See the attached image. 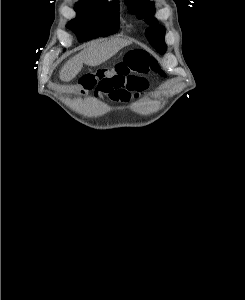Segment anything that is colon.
<instances>
[{
  "mask_svg": "<svg viewBox=\"0 0 245 300\" xmlns=\"http://www.w3.org/2000/svg\"><path fill=\"white\" fill-rule=\"evenodd\" d=\"M150 71L161 76L165 75L154 56L145 51L134 50L129 52L124 60L113 69L83 75L79 80V85L82 89H92L105 74H115L130 79L135 77L136 74H144Z\"/></svg>",
  "mask_w": 245,
  "mask_h": 300,
  "instance_id": "obj_1",
  "label": "colon"
}]
</instances>
